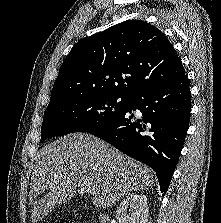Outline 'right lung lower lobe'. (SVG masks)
<instances>
[{"mask_svg": "<svg viewBox=\"0 0 221 223\" xmlns=\"http://www.w3.org/2000/svg\"><path fill=\"white\" fill-rule=\"evenodd\" d=\"M190 110V84L185 74L168 85L137 93L125 111L87 132L152 167L164 196L183 147Z\"/></svg>", "mask_w": 221, "mask_h": 223, "instance_id": "obj_1", "label": "right lung lower lobe"}]
</instances>
